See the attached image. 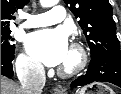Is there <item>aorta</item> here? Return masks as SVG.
<instances>
[{"instance_id": "762f6f07", "label": "aorta", "mask_w": 121, "mask_h": 94, "mask_svg": "<svg viewBox=\"0 0 121 94\" xmlns=\"http://www.w3.org/2000/svg\"><path fill=\"white\" fill-rule=\"evenodd\" d=\"M58 3V0H40L42 7H51Z\"/></svg>"}]
</instances>
